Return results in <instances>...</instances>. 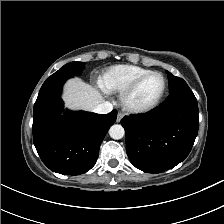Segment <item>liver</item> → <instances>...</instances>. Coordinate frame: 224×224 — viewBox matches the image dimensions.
Wrapping results in <instances>:
<instances>
[{
	"instance_id": "1",
	"label": "liver",
	"mask_w": 224,
	"mask_h": 224,
	"mask_svg": "<svg viewBox=\"0 0 224 224\" xmlns=\"http://www.w3.org/2000/svg\"><path fill=\"white\" fill-rule=\"evenodd\" d=\"M63 99L69 108L86 111H92L104 102V97L97 88L78 78H73L65 84Z\"/></svg>"
}]
</instances>
